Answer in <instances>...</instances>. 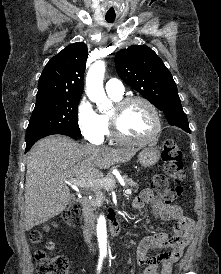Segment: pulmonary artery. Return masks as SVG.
Returning a JSON list of instances; mask_svg holds the SVG:
<instances>
[{"label": "pulmonary artery", "mask_w": 221, "mask_h": 274, "mask_svg": "<svg viewBox=\"0 0 221 274\" xmlns=\"http://www.w3.org/2000/svg\"><path fill=\"white\" fill-rule=\"evenodd\" d=\"M105 88L108 94L115 96H122L125 90L123 83L116 78L109 79L105 85Z\"/></svg>", "instance_id": "e3ab8cb5"}]
</instances>
